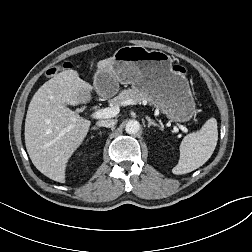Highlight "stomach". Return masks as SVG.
Returning <instances> with one entry per match:
<instances>
[{"label":"stomach","mask_w":252,"mask_h":252,"mask_svg":"<svg viewBox=\"0 0 252 252\" xmlns=\"http://www.w3.org/2000/svg\"><path fill=\"white\" fill-rule=\"evenodd\" d=\"M93 81L97 93L105 98L114 96L119 84H131L175 122L189 121L196 110L186 77L173 71L171 58L163 51L121 47L114 53L110 69L97 70Z\"/></svg>","instance_id":"1"}]
</instances>
